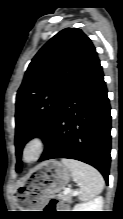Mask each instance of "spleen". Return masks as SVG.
Returning <instances> with one entry per match:
<instances>
[{"label": "spleen", "mask_w": 123, "mask_h": 219, "mask_svg": "<svg viewBox=\"0 0 123 219\" xmlns=\"http://www.w3.org/2000/svg\"><path fill=\"white\" fill-rule=\"evenodd\" d=\"M62 163L70 170L73 181L80 186V200H91L102 192L104 179L95 168L73 159L64 158Z\"/></svg>", "instance_id": "1"}]
</instances>
